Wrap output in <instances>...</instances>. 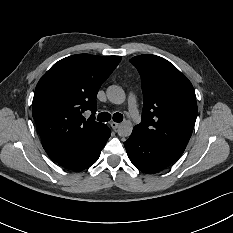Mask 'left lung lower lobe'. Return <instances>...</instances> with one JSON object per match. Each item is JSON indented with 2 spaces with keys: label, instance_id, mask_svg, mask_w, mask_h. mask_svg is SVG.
<instances>
[{
  "label": "left lung lower lobe",
  "instance_id": "obj_1",
  "mask_svg": "<svg viewBox=\"0 0 233 233\" xmlns=\"http://www.w3.org/2000/svg\"><path fill=\"white\" fill-rule=\"evenodd\" d=\"M124 145L134 166L148 174L167 168L183 153L180 150L150 141L134 129Z\"/></svg>",
  "mask_w": 233,
  "mask_h": 233
}]
</instances>
